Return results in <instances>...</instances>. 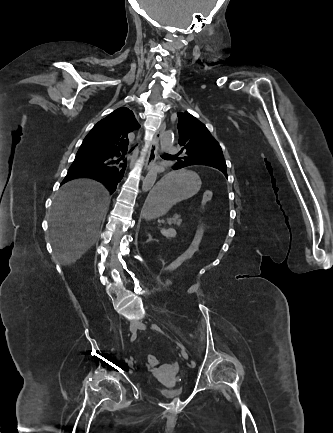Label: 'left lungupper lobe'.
I'll return each mask as SVG.
<instances>
[{
	"mask_svg": "<svg viewBox=\"0 0 333 433\" xmlns=\"http://www.w3.org/2000/svg\"><path fill=\"white\" fill-rule=\"evenodd\" d=\"M179 145L185 156L173 167L174 170L191 166L204 165L219 169L226 176V162L220 145L214 140L206 126L197 118L185 113H177Z\"/></svg>",
	"mask_w": 333,
	"mask_h": 433,
	"instance_id": "5c2ea615",
	"label": "left lung upper lobe"
}]
</instances>
